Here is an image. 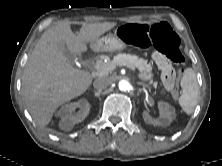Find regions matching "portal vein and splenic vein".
Returning <instances> with one entry per match:
<instances>
[{
	"mask_svg": "<svg viewBox=\"0 0 222 166\" xmlns=\"http://www.w3.org/2000/svg\"><path fill=\"white\" fill-rule=\"evenodd\" d=\"M119 65H120V66H127L128 68H130V69L133 70L134 72L136 71V68H135L133 65L129 64V63L123 62V63H120ZM114 68H115V67H104V66L101 65V64H96V65H95V69H96L97 71L101 72V73H107L108 71L113 70Z\"/></svg>",
	"mask_w": 222,
	"mask_h": 166,
	"instance_id": "obj_1",
	"label": "portal vein and splenic vein"
}]
</instances>
